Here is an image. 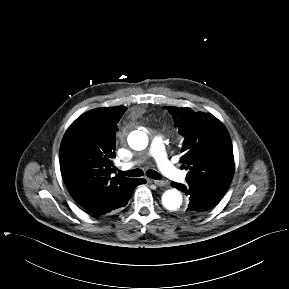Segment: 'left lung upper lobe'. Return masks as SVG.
Instances as JSON below:
<instances>
[{
	"label": "left lung upper lobe",
	"mask_w": 289,
	"mask_h": 289,
	"mask_svg": "<svg viewBox=\"0 0 289 289\" xmlns=\"http://www.w3.org/2000/svg\"><path fill=\"white\" fill-rule=\"evenodd\" d=\"M169 111L184 136L181 162L189 169L187 183L224 193L234 174L232 142L226 127L213 115L191 108L171 107Z\"/></svg>",
	"instance_id": "obj_1"
}]
</instances>
